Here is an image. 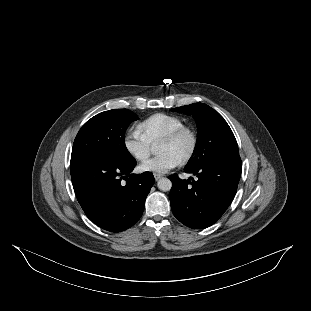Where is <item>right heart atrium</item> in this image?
Returning a JSON list of instances; mask_svg holds the SVG:
<instances>
[{
	"mask_svg": "<svg viewBox=\"0 0 311 311\" xmlns=\"http://www.w3.org/2000/svg\"><path fill=\"white\" fill-rule=\"evenodd\" d=\"M123 146L127 154L137 162L145 161L152 152V147L142 132L130 127L123 136Z\"/></svg>",
	"mask_w": 311,
	"mask_h": 311,
	"instance_id": "d8ad5b80",
	"label": "right heart atrium"
}]
</instances>
